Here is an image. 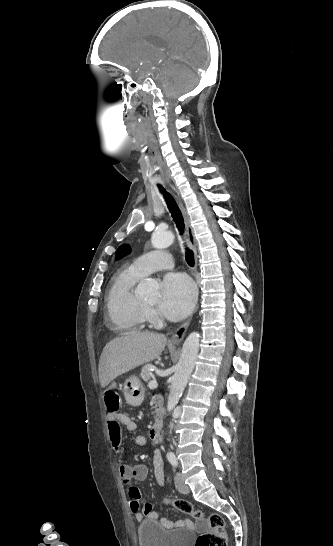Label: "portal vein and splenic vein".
Instances as JSON below:
<instances>
[{
  "label": "portal vein and splenic vein",
  "mask_w": 333,
  "mask_h": 546,
  "mask_svg": "<svg viewBox=\"0 0 333 546\" xmlns=\"http://www.w3.org/2000/svg\"><path fill=\"white\" fill-rule=\"evenodd\" d=\"M148 386L150 389H154L157 387V382L155 380H152L149 382Z\"/></svg>",
  "instance_id": "obj_1"
}]
</instances>
